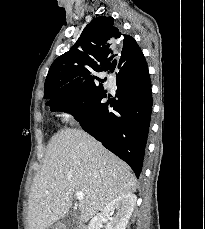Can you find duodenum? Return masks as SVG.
I'll list each match as a JSON object with an SVG mask.
<instances>
[{
	"label": "duodenum",
	"mask_w": 205,
	"mask_h": 229,
	"mask_svg": "<svg viewBox=\"0 0 205 229\" xmlns=\"http://www.w3.org/2000/svg\"><path fill=\"white\" fill-rule=\"evenodd\" d=\"M74 229H86V227L85 226H79V227L74 228Z\"/></svg>",
	"instance_id": "410a0bca"
}]
</instances>
